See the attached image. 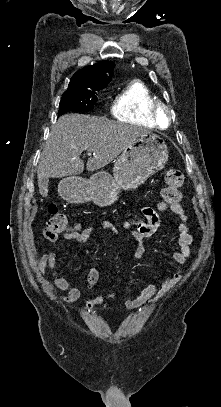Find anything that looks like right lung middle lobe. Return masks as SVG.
<instances>
[{
  "label": "right lung middle lobe",
  "instance_id": "right-lung-middle-lobe-1",
  "mask_svg": "<svg viewBox=\"0 0 221 407\" xmlns=\"http://www.w3.org/2000/svg\"><path fill=\"white\" fill-rule=\"evenodd\" d=\"M99 90L101 89L65 91L61 97L58 113L62 115L69 111L92 110L97 101L96 95Z\"/></svg>",
  "mask_w": 221,
  "mask_h": 407
}]
</instances>
